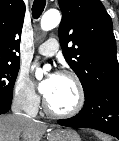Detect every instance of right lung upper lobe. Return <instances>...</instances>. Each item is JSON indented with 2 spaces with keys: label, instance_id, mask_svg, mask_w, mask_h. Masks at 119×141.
<instances>
[{
  "label": "right lung upper lobe",
  "instance_id": "cb5924a9",
  "mask_svg": "<svg viewBox=\"0 0 119 141\" xmlns=\"http://www.w3.org/2000/svg\"><path fill=\"white\" fill-rule=\"evenodd\" d=\"M24 15L23 0H0V62L19 63Z\"/></svg>",
  "mask_w": 119,
  "mask_h": 141
}]
</instances>
